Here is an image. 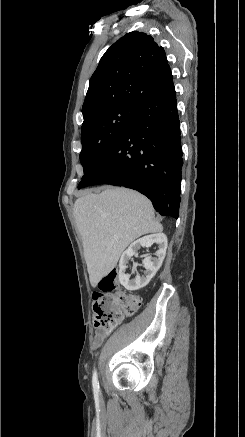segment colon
<instances>
[{"label": "colon", "instance_id": "1", "mask_svg": "<svg viewBox=\"0 0 245 437\" xmlns=\"http://www.w3.org/2000/svg\"><path fill=\"white\" fill-rule=\"evenodd\" d=\"M94 326L96 334L107 335L123 319L135 313L141 306V297L118 290V272L113 269L98 283L93 293Z\"/></svg>", "mask_w": 245, "mask_h": 437}]
</instances>
